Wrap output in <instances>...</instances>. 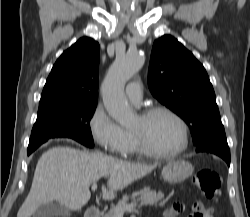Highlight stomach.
<instances>
[{
    "label": "stomach",
    "mask_w": 250,
    "mask_h": 217,
    "mask_svg": "<svg viewBox=\"0 0 250 217\" xmlns=\"http://www.w3.org/2000/svg\"><path fill=\"white\" fill-rule=\"evenodd\" d=\"M193 173V166L187 161L177 160L169 162L162 170V178L170 183H180Z\"/></svg>",
    "instance_id": "0dacf381"
}]
</instances>
